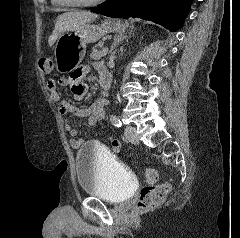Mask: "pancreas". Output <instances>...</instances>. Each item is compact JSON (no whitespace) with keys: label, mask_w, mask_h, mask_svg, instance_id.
<instances>
[{"label":"pancreas","mask_w":240,"mask_h":238,"mask_svg":"<svg viewBox=\"0 0 240 238\" xmlns=\"http://www.w3.org/2000/svg\"><path fill=\"white\" fill-rule=\"evenodd\" d=\"M90 57L94 60H100L104 55L101 50H97V47H93Z\"/></svg>","instance_id":"cf45deb5"}]
</instances>
